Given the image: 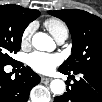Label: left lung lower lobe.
<instances>
[{
  "mask_svg": "<svg viewBox=\"0 0 102 102\" xmlns=\"http://www.w3.org/2000/svg\"><path fill=\"white\" fill-rule=\"evenodd\" d=\"M73 73L81 74L82 78L79 81L74 80V84L68 83L67 92L55 97L54 102H102V70L92 69Z\"/></svg>",
  "mask_w": 102,
  "mask_h": 102,
  "instance_id": "left-lung-lower-lobe-1",
  "label": "left lung lower lobe"
}]
</instances>
